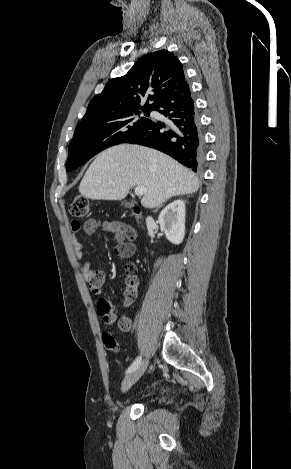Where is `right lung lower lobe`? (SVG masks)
Wrapping results in <instances>:
<instances>
[{
    "mask_svg": "<svg viewBox=\"0 0 291 469\" xmlns=\"http://www.w3.org/2000/svg\"><path fill=\"white\" fill-rule=\"evenodd\" d=\"M153 110L168 118L166 124L149 120L123 143L160 150L193 171L203 161V141L189 86L169 93Z\"/></svg>",
    "mask_w": 291,
    "mask_h": 469,
    "instance_id": "1",
    "label": "right lung lower lobe"
}]
</instances>
